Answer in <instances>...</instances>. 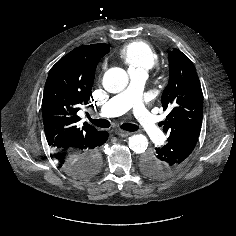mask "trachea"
Here are the masks:
<instances>
[{
	"mask_svg": "<svg viewBox=\"0 0 236 236\" xmlns=\"http://www.w3.org/2000/svg\"><path fill=\"white\" fill-rule=\"evenodd\" d=\"M89 121L97 127L100 128H108L110 127V122L106 119H92L89 117ZM121 129L129 132H134L139 129V127L135 124L125 123L120 126Z\"/></svg>",
	"mask_w": 236,
	"mask_h": 236,
	"instance_id": "obj_1",
	"label": "trachea"
}]
</instances>
